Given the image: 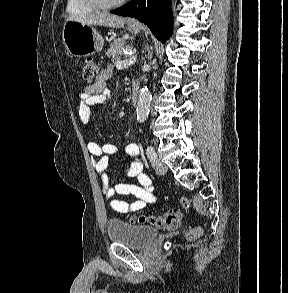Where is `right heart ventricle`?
<instances>
[{"label": "right heart ventricle", "mask_w": 288, "mask_h": 293, "mask_svg": "<svg viewBox=\"0 0 288 293\" xmlns=\"http://www.w3.org/2000/svg\"><path fill=\"white\" fill-rule=\"evenodd\" d=\"M67 12L72 15L87 14L98 8L86 3L84 0H67Z\"/></svg>", "instance_id": "right-heart-ventricle-1"}]
</instances>
